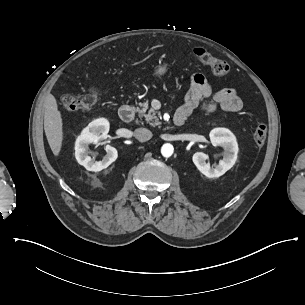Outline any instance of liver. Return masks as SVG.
Here are the masks:
<instances>
[{
  "label": "liver",
  "mask_w": 305,
  "mask_h": 305,
  "mask_svg": "<svg viewBox=\"0 0 305 305\" xmlns=\"http://www.w3.org/2000/svg\"><path fill=\"white\" fill-rule=\"evenodd\" d=\"M44 130L54 155H58L62 145V119L53 95L45 98Z\"/></svg>",
  "instance_id": "liver-1"
}]
</instances>
